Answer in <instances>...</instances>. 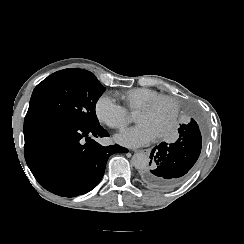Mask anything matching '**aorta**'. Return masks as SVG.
<instances>
[{"mask_svg": "<svg viewBox=\"0 0 244 244\" xmlns=\"http://www.w3.org/2000/svg\"><path fill=\"white\" fill-rule=\"evenodd\" d=\"M131 164L134 168L143 170L149 165V157L144 153H136L132 156Z\"/></svg>", "mask_w": 244, "mask_h": 244, "instance_id": "1", "label": "aorta"}]
</instances>
